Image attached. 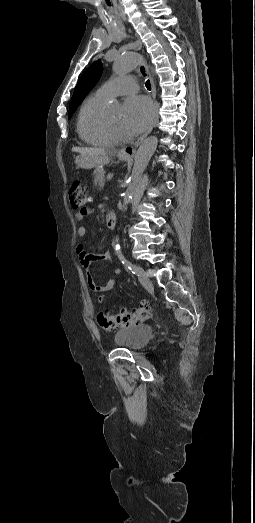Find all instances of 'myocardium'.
<instances>
[{"label": "myocardium", "instance_id": "obj_1", "mask_svg": "<svg viewBox=\"0 0 255 523\" xmlns=\"http://www.w3.org/2000/svg\"><path fill=\"white\" fill-rule=\"evenodd\" d=\"M104 125L116 141L126 142L131 139L129 136L124 135L117 124L107 115L104 117Z\"/></svg>", "mask_w": 255, "mask_h": 523}]
</instances>
